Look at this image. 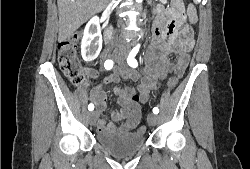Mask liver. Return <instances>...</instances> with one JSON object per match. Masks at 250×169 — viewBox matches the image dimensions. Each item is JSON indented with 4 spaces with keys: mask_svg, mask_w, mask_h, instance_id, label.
I'll return each mask as SVG.
<instances>
[{
    "mask_svg": "<svg viewBox=\"0 0 250 169\" xmlns=\"http://www.w3.org/2000/svg\"><path fill=\"white\" fill-rule=\"evenodd\" d=\"M110 0H57L59 14V40H65L86 22L92 14L101 12Z\"/></svg>",
    "mask_w": 250,
    "mask_h": 169,
    "instance_id": "liver-1",
    "label": "liver"
}]
</instances>
